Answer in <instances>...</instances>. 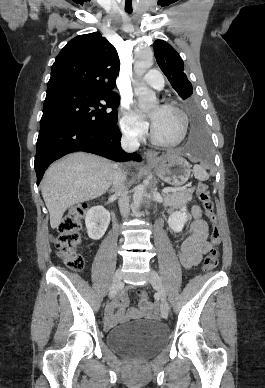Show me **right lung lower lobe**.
<instances>
[{
  "mask_svg": "<svg viewBox=\"0 0 265 388\" xmlns=\"http://www.w3.org/2000/svg\"><path fill=\"white\" fill-rule=\"evenodd\" d=\"M121 132L117 126L101 129L90 124L60 123L40 129L34 168L37 184L47 167L72 151H84L115 161L140 160L121 149Z\"/></svg>",
  "mask_w": 265,
  "mask_h": 388,
  "instance_id": "1",
  "label": "right lung lower lobe"
}]
</instances>
